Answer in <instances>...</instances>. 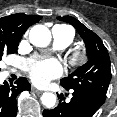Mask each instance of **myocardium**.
<instances>
[{"instance_id": "f54148a6", "label": "myocardium", "mask_w": 117, "mask_h": 117, "mask_svg": "<svg viewBox=\"0 0 117 117\" xmlns=\"http://www.w3.org/2000/svg\"><path fill=\"white\" fill-rule=\"evenodd\" d=\"M74 58H75V60H76L77 62H80V61L82 60V54L76 53V54L74 55Z\"/></svg>"}]
</instances>
